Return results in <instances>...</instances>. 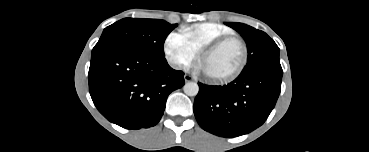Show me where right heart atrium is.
I'll return each instance as SVG.
<instances>
[{
	"label": "right heart atrium",
	"instance_id": "obj_1",
	"mask_svg": "<svg viewBox=\"0 0 369 152\" xmlns=\"http://www.w3.org/2000/svg\"><path fill=\"white\" fill-rule=\"evenodd\" d=\"M163 50L168 62L180 70L188 69L198 56V53L188 44L181 31H174L167 35Z\"/></svg>",
	"mask_w": 369,
	"mask_h": 152
}]
</instances>
